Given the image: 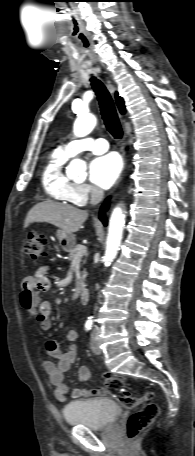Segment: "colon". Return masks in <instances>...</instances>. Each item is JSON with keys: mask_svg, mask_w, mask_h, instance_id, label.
I'll return each mask as SVG.
<instances>
[{"mask_svg": "<svg viewBox=\"0 0 195 456\" xmlns=\"http://www.w3.org/2000/svg\"><path fill=\"white\" fill-rule=\"evenodd\" d=\"M46 246L47 239L45 236L32 233L23 243L22 251L32 259H41L45 256ZM103 380L108 393L123 407L127 409H136L141 404L145 403L143 407L133 413L127 421V436L129 439L135 438L140 432L146 429L159 414L158 405L151 401L154 394L146 392L142 397H138L132 393L124 378L109 373L104 375Z\"/></svg>", "mask_w": 195, "mask_h": 456, "instance_id": "obj_1", "label": "colon"}]
</instances>
